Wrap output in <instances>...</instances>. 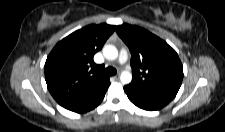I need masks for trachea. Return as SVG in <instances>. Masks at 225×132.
I'll return each instance as SVG.
<instances>
[{"label":"trachea","instance_id":"obj_1","mask_svg":"<svg viewBox=\"0 0 225 132\" xmlns=\"http://www.w3.org/2000/svg\"><path fill=\"white\" fill-rule=\"evenodd\" d=\"M117 73L116 69L113 68V67H108L104 70V74L106 76H112V75H115Z\"/></svg>","mask_w":225,"mask_h":132}]
</instances>
